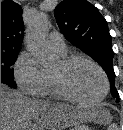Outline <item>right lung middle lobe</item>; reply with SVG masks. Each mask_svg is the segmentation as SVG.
<instances>
[{"label": "right lung middle lobe", "instance_id": "dd1d6c3e", "mask_svg": "<svg viewBox=\"0 0 123 130\" xmlns=\"http://www.w3.org/2000/svg\"><path fill=\"white\" fill-rule=\"evenodd\" d=\"M19 51H1V83L16 87L13 80L12 65L15 63Z\"/></svg>", "mask_w": 123, "mask_h": 130}]
</instances>
